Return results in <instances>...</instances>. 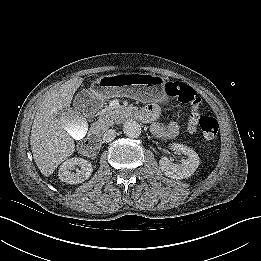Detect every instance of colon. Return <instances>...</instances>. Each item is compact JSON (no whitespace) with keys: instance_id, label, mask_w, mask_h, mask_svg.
Instances as JSON below:
<instances>
[{"instance_id":"1","label":"colon","mask_w":261,"mask_h":261,"mask_svg":"<svg viewBox=\"0 0 261 261\" xmlns=\"http://www.w3.org/2000/svg\"><path fill=\"white\" fill-rule=\"evenodd\" d=\"M166 92L170 97L175 98L184 104L190 105L191 114L189 121V131L195 132L197 127H199L202 131L205 142L209 146H212L217 138L219 126L213 117L201 115V97L197 95L192 87L178 81L167 83Z\"/></svg>"}]
</instances>
